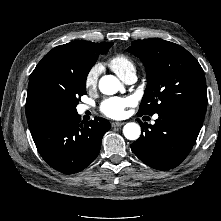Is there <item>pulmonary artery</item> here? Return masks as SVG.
I'll list each match as a JSON object with an SVG mask.
<instances>
[{
  "label": "pulmonary artery",
  "instance_id": "pulmonary-artery-1",
  "mask_svg": "<svg viewBox=\"0 0 221 221\" xmlns=\"http://www.w3.org/2000/svg\"><path fill=\"white\" fill-rule=\"evenodd\" d=\"M122 80L125 81V82L128 83V84L134 83V82L136 81V71H135V70H132V71L128 72V73L122 78ZM87 109H88V107L83 105V106H80V107L78 108V111H79L80 113H83V112L86 111ZM154 118L157 119L158 116H155Z\"/></svg>",
  "mask_w": 221,
  "mask_h": 221
}]
</instances>
